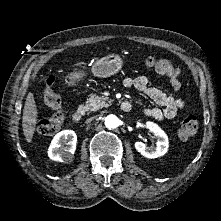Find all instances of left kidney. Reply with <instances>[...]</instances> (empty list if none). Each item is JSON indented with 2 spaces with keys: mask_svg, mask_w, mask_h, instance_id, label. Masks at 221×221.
I'll list each match as a JSON object with an SVG mask.
<instances>
[{
  "mask_svg": "<svg viewBox=\"0 0 221 221\" xmlns=\"http://www.w3.org/2000/svg\"><path fill=\"white\" fill-rule=\"evenodd\" d=\"M147 128L156 136V147H147L143 142H135L136 150L146 158H158L168 151V137L166 133L155 123L147 122Z\"/></svg>",
  "mask_w": 221,
  "mask_h": 221,
  "instance_id": "obj_1",
  "label": "left kidney"
}]
</instances>
